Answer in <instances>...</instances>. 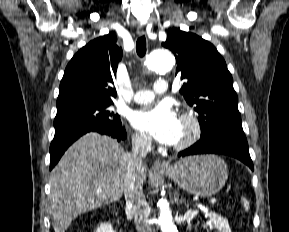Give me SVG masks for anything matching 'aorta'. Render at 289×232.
Segmentation results:
<instances>
[{
	"label": "aorta",
	"mask_w": 289,
	"mask_h": 232,
	"mask_svg": "<svg viewBox=\"0 0 289 232\" xmlns=\"http://www.w3.org/2000/svg\"><path fill=\"white\" fill-rule=\"evenodd\" d=\"M146 67L154 72H168L175 65V58L168 50L156 49L152 51L145 61ZM160 216L158 224L162 232H177L176 224L173 221L169 204L165 200L158 202Z\"/></svg>",
	"instance_id": "762f6f07"
}]
</instances>
